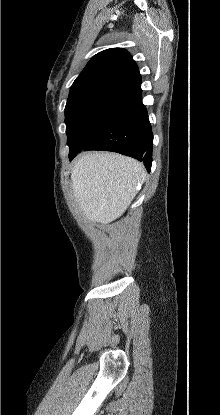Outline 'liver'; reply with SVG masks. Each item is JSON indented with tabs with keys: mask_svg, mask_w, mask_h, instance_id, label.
Here are the masks:
<instances>
[{
	"mask_svg": "<svg viewBox=\"0 0 220 415\" xmlns=\"http://www.w3.org/2000/svg\"><path fill=\"white\" fill-rule=\"evenodd\" d=\"M146 177L137 160L116 153H83L74 162L72 189L87 220L102 224L119 218Z\"/></svg>",
	"mask_w": 220,
	"mask_h": 415,
	"instance_id": "obj_1",
	"label": "liver"
}]
</instances>
